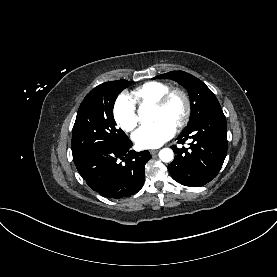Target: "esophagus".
Here are the masks:
<instances>
[{
    "mask_svg": "<svg viewBox=\"0 0 277 277\" xmlns=\"http://www.w3.org/2000/svg\"><path fill=\"white\" fill-rule=\"evenodd\" d=\"M150 153H151L152 155H154V154L158 153V150H157V149H152V150H150Z\"/></svg>",
    "mask_w": 277,
    "mask_h": 277,
    "instance_id": "esophagus-1",
    "label": "esophagus"
}]
</instances>
